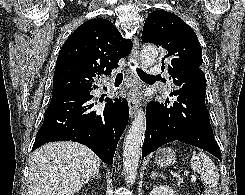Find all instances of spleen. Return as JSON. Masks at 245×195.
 I'll list each match as a JSON object with an SVG mask.
<instances>
[{
  "label": "spleen",
  "mask_w": 245,
  "mask_h": 195,
  "mask_svg": "<svg viewBox=\"0 0 245 195\" xmlns=\"http://www.w3.org/2000/svg\"><path fill=\"white\" fill-rule=\"evenodd\" d=\"M191 168L194 172H197L201 176V180L207 186H216L219 182V172L217 166L210 159L209 156L200 152L196 154L194 151L192 154Z\"/></svg>",
  "instance_id": "3e777b00"
}]
</instances>
